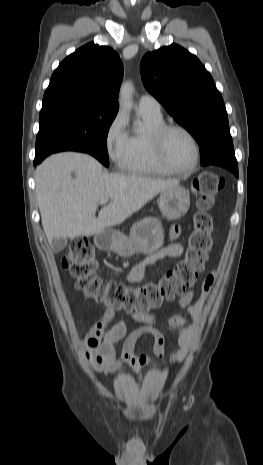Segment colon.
<instances>
[{
    "mask_svg": "<svg viewBox=\"0 0 263 465\" xmlns=\"http://www.w3.org/2000/svg\"><path fill=\"white\" fill-rule=\"evenodd\" d=\"M225 180L214 173H201L193 181L192 190L197 196L198 212L194 216V229L188 239L184 258L167 271L158 281L130 287L118 281L104 280L97 274L99 262L93 246L84 238L70 242L62 264L76 279V286L88 297L128 312L146 313L166 301L182 295L193 286L212 248L214 222L208 211L216 195L223 189ZM174 326L182 327L185 319L176 316ZM85 343L93 347L99 338L89 335Z\"/></svg>",
    "mask_w": 263,
    "mask_h": 465,
    "instance_id": "obj_1",
    "label": "colon"
}]
</instances>
